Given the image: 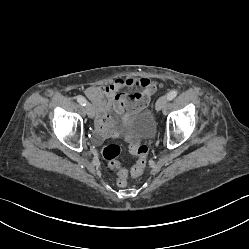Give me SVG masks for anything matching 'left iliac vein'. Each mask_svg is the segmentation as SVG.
Segmentation results:
<instances>
[{
  "label": "left iliac vein",
  "instance_id": "1",
  "mask_svg": "<svg viewBox=\"0 0 249 249\" xmlns=\"http://www.w3.org/2000/svg\"><path fill=\"white\" fill-rule=\"evenodd\" d=\"M168 103V98L167 96H162L160 97L157 102H156V105H155V109L157 111H160L161 109H163Z\"/></svg>",
  "mask_w": 249,
  "mask_h": 249
}]
</instances>
